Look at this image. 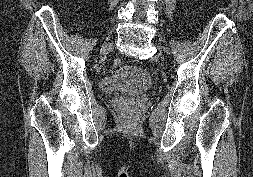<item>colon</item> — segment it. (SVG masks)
<instances>
[{
  "instance_id": "1",
  "label": "colon",
  "mask_w": 253,
  "mask_h": 177,
  "mask_svg": "<svg viewBox=\"0 0 253 177\" xmlns=\"http://www.w3.org/2000/svg\"><path fill=\"white\" fill-rule=\"evenodd\" d=\"M113 65L114 67L119 68L122 65V61L120 59H115Z\"/></svg>"
}]
</instances>
